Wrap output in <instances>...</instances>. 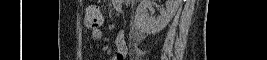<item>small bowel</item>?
I'll use <instances>...</instances> for the list:
<instances>
[{"mask_svg": "<svg viewBox=\"0 0 267 60\" xmlns=\"http://www.w3.org/2000/svg\"><path fill=\"white\" fill-rule=\"evenodd\" d=\"M123 5V1L121 0H115L113 1V6L115 9H121ZM102 39V32L101 30H94L91 32L90 35V43L91 45H95L100 43ZM115 45H116V53L111 58L112 60H126L127 59V43L125 38V33L123 30H121L116 38H115Z\"/></svg>", "mask_w": 267, "mask_h": 60, "instance_id": "c3829d8e", "label": "small bowel"}]
</instances>
